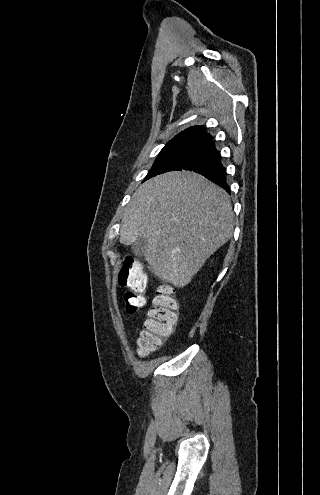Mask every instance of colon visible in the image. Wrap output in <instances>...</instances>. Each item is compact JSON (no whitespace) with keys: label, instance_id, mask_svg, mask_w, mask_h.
Listing matches in <instances>:
<instances>
[{"label":"colon","instance_id":"obj_1","mask_svg":"<svg viewBox=\"0 0 320 495\" xmlns=\"http://www.w3.org/2000/svg\"><path fill=\"white\" fill-rule=\"evenodd\" d=\"M118 279L119 284L128 289L124 294L126 310L134 313L143 308V292L148 286V275L141 264L132 257H126ZM177 309L178 304L172 287L160 285L144 322V330L138 339V353L141 356L157 349L162 340L173 332L177 322Z\"/></svg>","mask_w":320,"mask_h":495}]
</instances>
